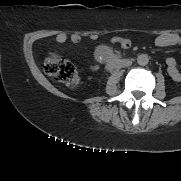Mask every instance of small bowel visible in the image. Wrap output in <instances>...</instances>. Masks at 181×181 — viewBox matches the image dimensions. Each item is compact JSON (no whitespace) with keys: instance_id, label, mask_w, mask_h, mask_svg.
<instances>
[{"instance_id":"c3829d8e","label":"small bowel","mask_w":181,"mask_h":181,"mask_svg":"<svg viewBox=\"0 0 181 181\" xmlns=\"http://www.w3.org/2000/svg\"><path fill=\"white\" fill-rule=\"evenodd\" d=\"M94 39L93 36L90 37ZM55 40L59 44H64L68 40L73 43H79L81 41V37L77 34H73L71 36L66 35L65 33H59L56 35ZM113 42L115 44L120 45L122 48H128L130 46V41L125 38H114ZM155 44L159 47H169L181 44V36L176 33H163L157 36L154 40ZM167 72L169 76L177 82H181V71L179 70L176 61L173 58H168L166 60Z\"/></svg>"}]
</instances>
